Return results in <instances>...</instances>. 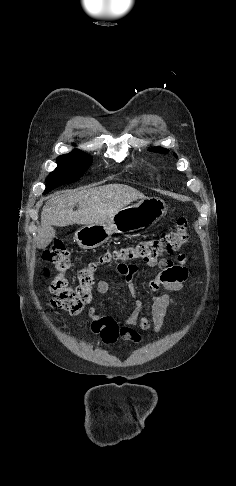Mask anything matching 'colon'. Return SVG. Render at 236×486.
<instances>
[{"mask_svg": "<svg viewBox=\"0 0 236 486\" xmlns=\"http://www.w3.org/2000/svg\"><path fill=\"white\" fill-rule=\"evenodd\" d=\"M189 237L187 221L180 218L175 230L163 232L157 237L140 240L134 245L106 253L99 263L135 259H142L147 262L177 251L188 242ZM43 259L55 271L50 283L52 305L71 314L79 313L91 300V291L95 282V271L98 263L92 262L81 268L77 272L78 284L72 287L64 275L70 266V253L60 240L54 241L44 250Z\"/></svg>", "mask_w": 236, "mask_h": 486, "instance_id": "colon-1", "label": "colon"}]
</instances>
